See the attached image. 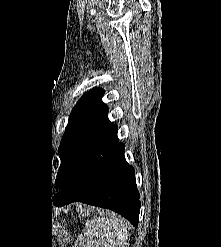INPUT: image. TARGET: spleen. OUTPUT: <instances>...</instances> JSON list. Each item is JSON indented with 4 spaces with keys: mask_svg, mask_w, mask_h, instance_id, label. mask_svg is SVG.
<instances>
[{
    "mask_svg": "<svg viewBox=\"0 0 221 247\" xmlns=\"http://www.w3.org/2000/svg\"><path fill=\"white\" fill-rule=\"evenodd\" d=\"M129 233L121 218H94L86 223L79 247H127Z\"/></svg>",
    "mask_w": 221,
    "mask_h": 247,
    "instance_id": "spleen-1",
    "label": "spleen"
}]
</instances>
